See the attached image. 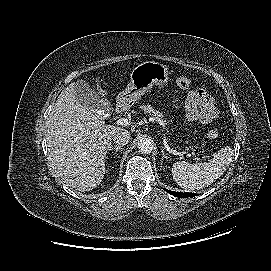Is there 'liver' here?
Returning a JSON list of instances; mask_svg holds the SVG:
<instances>
[{
	"instance_id": "liver-1",
	"label": "liver",
	"mask_w": 271,
	"mask_h": 271,
	"mask_svg": "<svg viewBox=\"0 0 271 271\" xmlns=\"http://www.w3.org/2000/svg\"><path fill=\"white\" fill-rule=\"evenodd\" d=\"M75 84L60 93L49 115L48 160L67 186L85 192L102 182L106 153L113 134L121 128L105 125L103 116L81 105Z\"/></svg>"
}]
</instances>
